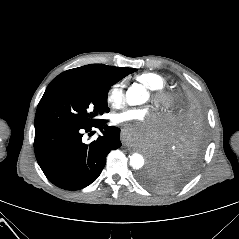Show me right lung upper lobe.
Listing matches in <instances>:
<instances>
[{
	"mask_svg": "<svg viewBox=\"0 0 239 239\" xmlns=\"http://www.w3.org/2000/svg\"><path fill=\"white\" fill-rule=\"evenodd\" d=\"M136 69L127 67H112L103 64H90L74 69L67 70L58 75L51 83L66 80H107L122 79Z\"/></svg>",
	"mask_w": 239,
	"mask_h": 239,
	"instance_id": "obj_1",
	"label": "right lung upper lobe"
}]
</instances>
